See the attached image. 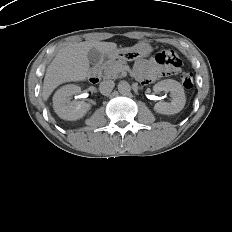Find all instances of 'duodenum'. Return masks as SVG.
<instances>
[{
    "instance_id": "duodenum-1",
    "label": "duodenum",
    "mask_w": 232,
    "mask_h": 232,
    "mask_svg": "<svg viewBox=\"0 0 232 232\" xmlns=\"http://www.w3.org/2000/svg\"><path fill=\"white\" fill-rule=\"evenodd\" d=\"M100 79V66L95 64L90 69L89 80L91 83H97Z\"/></svg>"
}]
</instances>
